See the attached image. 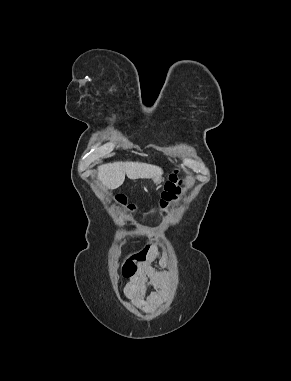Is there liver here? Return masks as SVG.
Returning <instances> with one entry per match:
<instances>
[{
	"label": "liver",
	"mask_w": 291,
	"mask_h": 381,
	"mask_svg": "<svg viewBox=\"0 0 291 381\" xmlns=\"http://www.w3.org/2000/svg\"><path fill=\"white\" fill-rule=\"evenodd\" d=\"M162 169L146 163L138 162H113L98 167V179L109 189L120 187L125 174L129 179L151 178L161 179Z\"/></svg>",
	"instance_id": "obj_1"
}]
</instances>
